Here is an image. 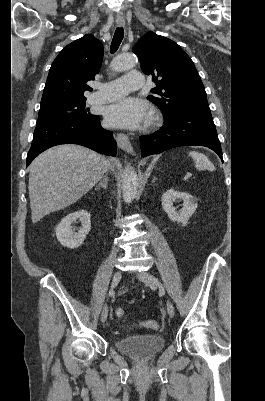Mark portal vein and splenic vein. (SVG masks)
<instances>
[{
  "instance_id": "portal-vein-and-splenic-vein-1",
  "label": "portal vein and splenic vein",
  "mask_w": 265,
  "mask_h": 401,
  "mask_svg": "<svg viewBox=\"0 0 265 401\" xmlns=\"http://www.w3.org/2000/svg\"><path fill=\"white\" fill-rule=\"evenodd\" d=\"M189 176H192L191 172H187L186 178H189Z\"/></svg>"
}]
</instances>
